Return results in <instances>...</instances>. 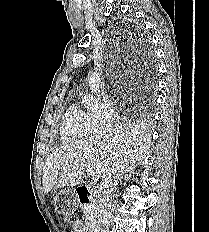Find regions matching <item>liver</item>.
I'll use <instances>...</instances> for the list:
<instances>
[{
    "label": "liver",
    "mask_w": 209,
    "mask_h": 232,
    "mask_svg": "<svg viewBox=\"0 0 209 232\" xmlns=\"http://www.w3.org/2000/svg\"><path fill=\"white\" fill-rule=\"evenodd\" d=\"M150 140L131 124H121L112 130L85 137L53 151L43 168L45 194L57 188L78 185L87 166L100 174L101 181L109 175L122 177L142 163L149 154Z\"/></svg>",
    "instance_id": "obj_1"
}]
</instances>
